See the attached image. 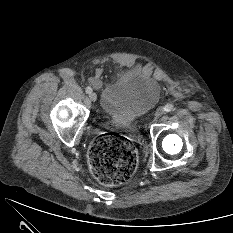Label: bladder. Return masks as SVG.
Segmentation results:
<instances>
[{"instance_id": "bladder-1", "label": "bladder", "mask_w": 233, "mask_h": 233, "mask_svg": "<svg viewBox=\"0 0 233 233\" xmlns=\"http://www.w3.org/2000/svg\"><path fill=\"white\" fill-rule=\"evenodd\" d=\"M160 96V83L141 69L132 68L101 88L99 104L109 118L125 123L151 110Z\"/></svg>"}]
</instances>
